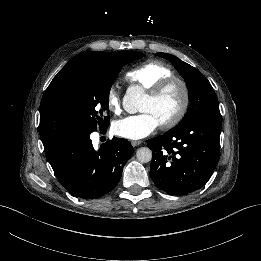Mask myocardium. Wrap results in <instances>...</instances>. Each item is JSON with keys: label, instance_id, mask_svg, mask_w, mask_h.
<instances>
[{"label": "myocardium", "instance_id": "1", "mask_svg": "<svg viewBox=\"0 0 261 261\" xmlns=\"http://www.w3.org/2000/svg\"><path fill=\"white\" fill-rule=\"evenodd\" d=\"M175 86H178L181 89L182 102L178 111L170 119L160 123L163 129H170L174 127L185 116L190 104V92L188 85L183 79L173 76L163 79L162 81L157 83L147 95L149 99L156 100L160 98L166 91Z\"/></svg>", "mask_w": 261, "mask_h": 261}]
</instances>
